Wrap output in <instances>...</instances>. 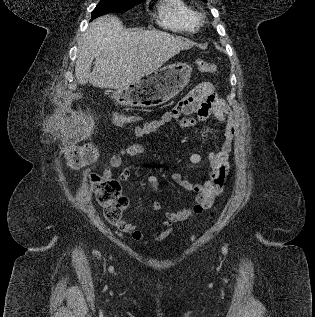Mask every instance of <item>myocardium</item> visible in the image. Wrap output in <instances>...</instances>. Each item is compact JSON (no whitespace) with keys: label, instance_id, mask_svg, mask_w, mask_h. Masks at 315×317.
<instances>
[{"label":"myocardium","instance_id":"f54148a6","mask_svg":"<svg viewBox=\"0 0 315 317\" xmlns=\"http://www.w3.org/2000/svg\"><path fill=\"white\" fill-rule=\"evenodd\" d=\"M197 19H198V22H199V21H201L203 19V16L202 15H198Z\"/></svg>","mask_w":315,"mask_h":317}]
</instances>
